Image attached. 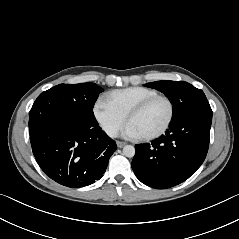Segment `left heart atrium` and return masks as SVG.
I'll use <instances>...</instances> for the list:
<instances>
[{"label": "left heart atrium", "mask_w": 239, "mask_h": 239, "mask_svg": "<svg viewBox=\"0 0 239 239\" xmlns=\"http://www.w3.org/2000/svg\"><path fill=\"white\" fill-rule=\"evenodd\" d=\"M122 135L126 138H132V139L141 137L139 132L136 130V128L130 123H128L124 127L122 131Z\"/></svg>", "instance_id": "left-heart-atrium-1"}]
</instances>
